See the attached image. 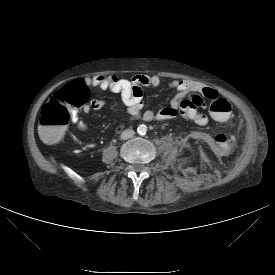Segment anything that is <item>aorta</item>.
Wrapping results in <instances>:
<instances>
[{"mask_svg":"<svg viewBox=\"0 0 275 275\" xmlns=\"http://www.w3.org/2000/svg\"><path fill=\"white\" fill-rule=\"evenodd\" d=\"M137 131L140 135H144L147 132V127L145 125H140L138 127Z\"/></svg>","mask_w":275,"mask_h":275,"instance_id":"1","label":"aorta"}]
</instances>
